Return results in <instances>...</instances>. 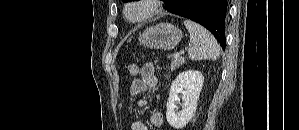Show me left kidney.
<instances>
[{
	"label": "left kidney",
	"mask_w": 299,
	"mask_h": 130,
	"mask_svg": "<svg viewBox=\"0 0 299 130\" xmlns=\"http://www.w3.org/2000/svg\"><path fill=\"white\" fill-rule=\"evenodd\" d=\"M203 75L194 70L180 73L172 82L167 102L166 119L170 126L181 129L192 119L196 112L197 102L203 86ZM178 94H182V110L178 109L176 102L180 101Z\"/></svg>",
	"instance_id": "5707ae66"
}]
</instances>
